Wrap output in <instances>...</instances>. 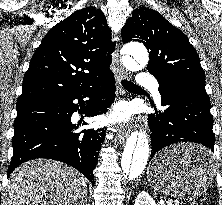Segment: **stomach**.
Returning <instances> with one entry per match:
<instances>
[{"label":"stomach","instance_id":"0dacf381","mask_svg":"<svg viewBox=\"0 0 222 205\" xmlns=\"http://www.w3.org/2000/svg\"><path fill=\"white\" fill-rule=\"evenodd\" d=\"M206 149L196 144L174 145L154 156L147 168V179L152 188L166 195L193 200L211 186L214 169L211 164L187 162L193 152Z\"/></svg>","mask_w":222,"mask_h":205}]
</instances>
